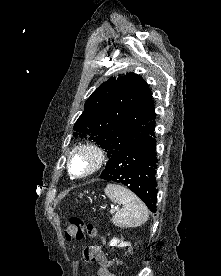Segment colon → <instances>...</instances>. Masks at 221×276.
<instances>
[{
    "label": "colon",
    "instance_id": "5ec220e1",
    "mask_svg": "<svg viewBox=\"0 0 221 276\" xmlns=\"http://www.w3.org/2000/svg\"><path fill=\"white\" fill-rule=\"evenodd\" d=\"M64 235L68 242L80 241L85 238L95 239L99 236L92 223L85 222L78 217H72L69 219L65 226ZM118 264V260L109 261L107 263V268L110 270V268H113Z\"/></svg>",
    "mask_w": 221,
    "mask_h": 276
}]
</instances>
